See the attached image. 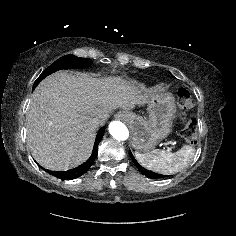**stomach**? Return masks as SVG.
<instances>
[{"instance_id": "stomach-1", "label": "stomach", "mask_w": 236, "mask_h": 236, "mask_svg": "<svg viewBox=\"0 0 236 236\" xmlns=\"http://www.w3.org/2000/svg\"><path fill=\"white\" fill-rule=\"evenodd\" d=\"M143 97L142 104H147L149 116L144 118L132 111H125L126 120L132 132V146L148 152L164 138L172 129L176 105L173 96L159 89L146 90L138 85Z\"/></svg>"}]
</instances>
